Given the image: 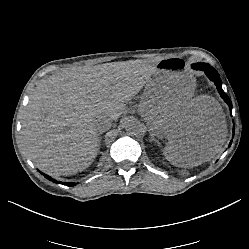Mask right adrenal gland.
Here are the masks:
<instances>
[{"label": "right adrenal gland", "mask_w": 249, "mask_h": 249, "mask_svg": "<svg viewBox=\"0 0 249 249\" xmlns=\"http://www.w3.org/2000/svg\"><path fill=\"white\" fill-rule=\"evenodd\" d=\"M102 134V132H99L98 135L100 136Z\"/></svg>", "instance_id": "obj_1"}]
</instances>
